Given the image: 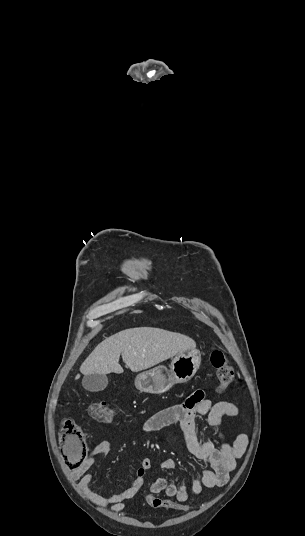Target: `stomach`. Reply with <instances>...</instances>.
<instances>
[{"label": "stomach", "instance_id": "0dacf381", "mask_svg": "<svg viewBox=\"0 0 305 536\" xmlns=\"http://www.w3.org/2000/svg\"><path fill=\"white\" fill-rule=\"evenodd\" d=\"M201 364L199 350L180 352L172 360L170 370L165 366H157L148 372H142L135 378V388L147 394H164L174 384H185L195 376Z\"/></svg>", "mask_w": 305, "mask_h": 536}]
</instances>
